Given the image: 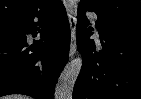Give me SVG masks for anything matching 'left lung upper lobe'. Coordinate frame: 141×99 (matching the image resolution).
<instances>
[{
	"mask_svg": "<svg viewBox=\"0 0 141 99\" xmlns=\"http://www.w3.org/2000/svg\"><path fill=\"white\" fill-rule=\"evenodd\" d=\"M79 5L115 22L141 24L139 0H81Z\"/></svg>",
	"mask_w": 141,
	"mask_h": 99,
	"instance_id": "left-lung-upper-lobe-1",
	"label": "left lung upper lobe"
}]
</instances>
